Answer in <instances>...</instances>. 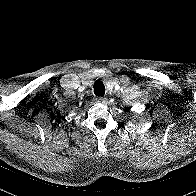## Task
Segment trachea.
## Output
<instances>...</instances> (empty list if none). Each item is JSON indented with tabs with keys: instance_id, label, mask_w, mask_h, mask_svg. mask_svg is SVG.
I'll use <instances>...</instances> for the list:
<instances>
[{
	"instance_id": "3493384b",
	"label": "trachea",
	"mask_w": 196,
	"mask_h": 196,
	"mask_svg": "<svg viewBox=\"0 0 196 196\" xmlns=\"http://www.w3.org/2000/svg\"><path fill=\"white\" fill-rule=\"evenodd\" d=\"M93 88L96 96L102 97L105 94V86L101 80H96Z\"/></svg>"
}]
</instances>
